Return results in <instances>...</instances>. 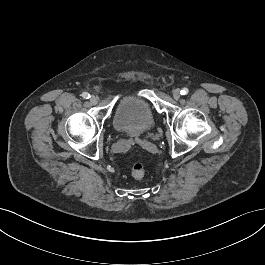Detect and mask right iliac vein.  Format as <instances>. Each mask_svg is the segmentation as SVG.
Listing matches in <instances>:
<instances>
[{
	"instance_id": "1",
	"label": "right iliac vein",
	"mask_w": 265,
	"mask_h": 265,
	"mask_svg": "<svg viewBox=\"0 0 265 265\" xmlns=\"http://www.w3.org/2000/svg\"><path fill=\"white\" fill-rule=\"evenodd\" d=\"M90 102L92 103V104H97L98 103V98L97 97H95V96H91L90 97Z\"/></svg>"
}]
</instances>
